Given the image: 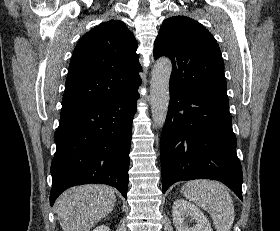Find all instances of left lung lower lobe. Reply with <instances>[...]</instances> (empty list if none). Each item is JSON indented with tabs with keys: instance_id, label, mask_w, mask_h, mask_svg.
<instances>
[{
	"instance_id": "0a47b994",
	"label": "left lung lower lobe",
	"mask_w": 280,
	"mask_h": 231,
	"mask_svg": "<svg viewBox=\"0 0 280 231\" xmlns=\"http://www.w3.org/2000/svg\"><path fill=\"white\" fill-rule=\"evenodd\" d=\"M231 122L228 98L170 86L161 135L163 193L178 181L215 179L243 200L242 168Z\"/></svg>"
}]
</instances>
